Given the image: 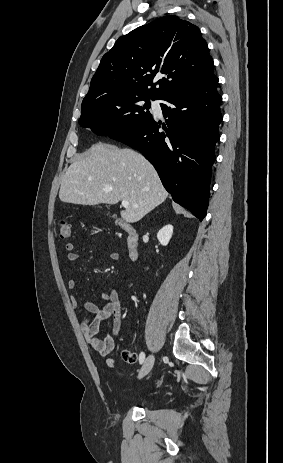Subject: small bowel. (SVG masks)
Returning a JSON list of instances; mask_svg holds the SVG:
<instances>
[{
    "label": "small bowel",
    "mask_w": 283,
    "mask_h": 463,
    "mask_svg": "<svg viewBox=\"0 0 283 463\" xmlns=\"http://www.w3.org/2000/svg\"><path fill=\"white\" fill-rule=\"evenodd\" d=\"M67 259L70 262L78 260V254L74 250V245L68 243L66 245ZM112 259L117 260L118 254L113 252ZM68 288L74 290L77 288V280L70 279L68 281ZM70 303L73 308H77L78 300L76 296L70 297ZM83 308L91 313V316L86 318L82 324L81 329L86 342L102 357L106 358V365L111 369L118 367V362L115 358L109 357L114 348L116 336L119 335L123 325V314L118 293L111 289L102 294V304L96 305L91 301L85 300ZM108 321L110 323V332L103 338L97 337V333L102 322Z\"/></svg>",
    "instance_id": "c3829d8e"
}]
</instances>
